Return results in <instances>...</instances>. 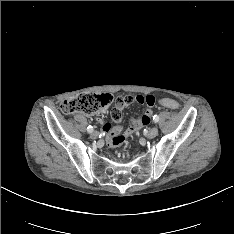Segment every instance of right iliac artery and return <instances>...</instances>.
Here are the masks:
<instances>
[{
  "label": "right iliac artery",
  "mask_w": 234,
  "mask_h": 234,
  "mask_svg": "<svg viewBox=\"0 0 234 234\" xmlns=\"http://www.w3.org/2000/svg\"><path fill=\"white\" fill-rule=\"evenodd\" d=\"M87 131H88L89 133H92V132H93V127H92V126H88V127H87Z\"/></svg>",
  "instance_id": "right-iliac-artery-1"
}]
</instances>
